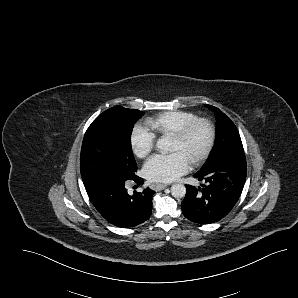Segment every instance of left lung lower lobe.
<instances>
[{
    "mask_svg": "<svg viewBox=\"0 0 298 298\" xmlns=\"http://www.w3.org/2000/svg\"><path fill=\"white\" fill-rule=\"evenodd\" d=\"M245 155H236L195 174L201 187L186 185L181 203L183 215L198 224H210L224 218L239 199L246 180Z\"/></svg>",
    "mask_w": 298,
    "mask_h": 298,
    "instance_id": "obj_1",
    "label": "left lung lower lobe"
}]
</instances>
